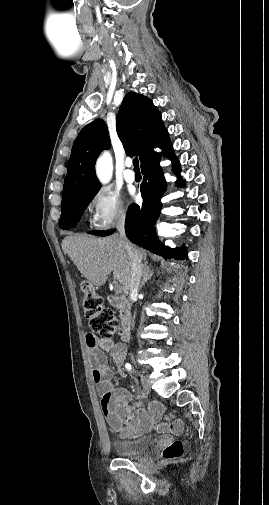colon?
I'll return each mask as SVG.
<instances>
[{"instance_id": "colon-1", "label": "colon", "mask_w": 269, "mask_h": 505, "mask_svg": "<svg viewBox=\"0 0 269 505\" xmlns=\"http://www.w3.org/2000/svg\"><path fill=\"white\" fill-rule=\"evenodd\" d=\"M82 290V307L90 329L88 334L102 338L112 337L117 328V320L113 311L103 306L101 297L95 292L92 285L84 283ZM183 454L184 444L178 440L171 442L163 450V457L166 460L178 459Z\"/></svg>"}]
</instances>
